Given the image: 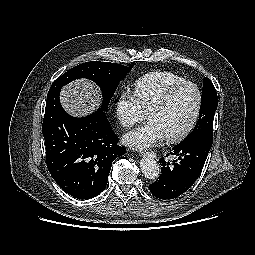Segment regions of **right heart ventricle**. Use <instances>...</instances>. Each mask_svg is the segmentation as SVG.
Instances as JSON below:
<instances>
[{
    "mask_svg": "<svg viewBox=\"0 0 255 255\" xmlns=\"http://www.w3.org/2000/svg\"><path fill=\"white\" fill-rule=\"evenodd\" d=\"M185 81L171 72H153L138 79L134 84V96L145 113L174 85Z\"/></svg>",
    "mask_w": 255,
    "mask_h": 255,
    "instance_id": "1",
    "label": "right heart ventricle"
}]
</instances>
